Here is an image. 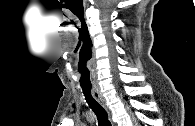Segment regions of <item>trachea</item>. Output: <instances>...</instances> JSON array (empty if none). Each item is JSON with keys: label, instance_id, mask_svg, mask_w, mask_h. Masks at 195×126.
Masks as SVG:
<instances>
[{"label": "trachea", "instance_id": "1", "mask_svg": "<svg viewBox=\"0 0 195 126\" xmlns=\"http://www.w3.org/2000/svg\"><path fill=\"white\" fill-rule=\"evenodd\" d=\"M83 94L89 107L96 114L99 126H111L108 119V114L105 109L93 98L91 94V87H82Z\"/></svg>", "mask_w": 195, "mask_h": 126}]
</instances>
